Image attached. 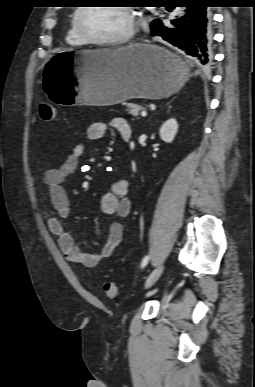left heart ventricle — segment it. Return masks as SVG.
<instances>
[{"label": "left heart ventricle", "instance_id": "obj_1", "mask_svg": "<svg viewBox=\"0 0 255 387\" xmlns=\"http://www.w3.org/2000/svg\"><path fill=\"white\" fill-rule=\"evenodd\" d=\"M81 20L87 33L97 39L119 38L131 25V19L119 7H89Z\"/></svg>", "mask_w": 255, "mask_h": 387}]
</instances>
